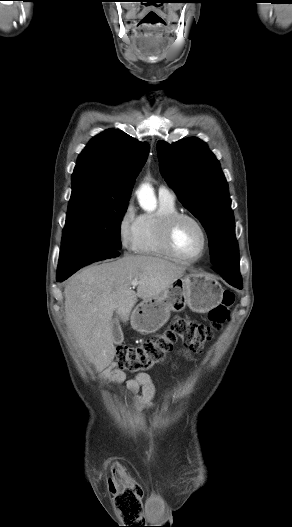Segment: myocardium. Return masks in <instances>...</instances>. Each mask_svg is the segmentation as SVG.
Returning <instances> with one entry per match:
<instances>
[{"label": "myocardium", "mask_w": 292, "mask_h": 527, "mask_svg": "<svg viewBox=\"0 0 292 527\" xmlns=\"http://www.w3.org/2000/svg\"><path fill=\"white\" fill-rule=\"evenodd\" d=\"M187 219L192 221L194 224L197 225L199 228L202 238H203V246L200 254L196 256L195 258H185L182 255L179 254V252L176 250L173 242V234L174 229L179 221ZM161 242L165 250L168 252V254L174 258L175 260L185 263V264H194L199 262L207 253L209 249V236L207 233V230L203 223L194 215L184 212H175L170 215H168L161 227Z\"/></svg>", "instance_id": "f54148a6"}]
</instances>
